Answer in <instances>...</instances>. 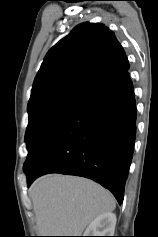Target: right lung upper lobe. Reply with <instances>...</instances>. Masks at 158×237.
<instances>
[{
  "label": "right lung upper lobe",
  "mask_w": 158,
  "mask_h": 237,
  "mask_svg": "<svg viewBox=\"0 0 158 237\" xmlns=\"http://www.w3.org/2000/svg\"><path fill=\"white\" fill-rule=\"evenodd\" d=\"M128 69V59L115 34L103 24L82 23L47 53L28 107L62 96L85 101Z\"/></svg>",
  "instance_id": "obj_1"
}]
</instances>
